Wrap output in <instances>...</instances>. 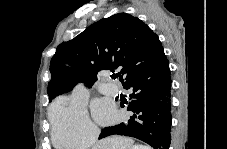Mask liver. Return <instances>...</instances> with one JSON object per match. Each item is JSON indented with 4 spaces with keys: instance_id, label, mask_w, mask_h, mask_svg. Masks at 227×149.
<instances>
[{
    "instance_id": "obj_1",
    "label": "liver",
    "mask_w": 227,
    "mask_h": 149,
    "mask_svg": "<svg viewBox=\"0 0 227 149\" xmlns=\"http://www.w3.org/2000/svg\"><path fill=\"white\" fill-rule=\"evenodd\" d=\"M134 141L127 137L112 136L97 142L92 149H131Z\"/></svg>"
}]
</instances>
